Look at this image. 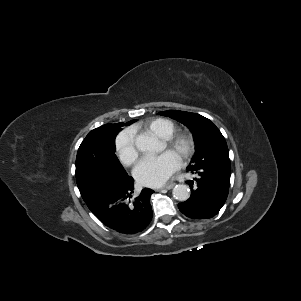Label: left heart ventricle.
<instances>
[{"mask_svg": "<svg viewBox=\"0 0 301 301\" xmlns=\"http://www.w3.org/2000/svg\"><path fill=\"white\" fill-rule=\"evenodd\" d=\"M172 152H174L177 156H179V153L176 150H173Z\"/></svg>", "mask_w": 301, "mask_h": 301, "instance_id": "left-heart-ventricle-1", "label": "left heart ventricle"}]
</instances>
